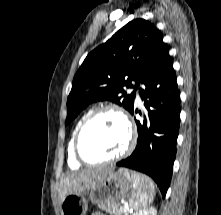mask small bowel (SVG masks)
I'll return each mask as SVG.
<instances>
[{
    "label": "small bowel",
    "instance_id": "c3829d8e",
    "mask_svg": "<svg viewBox=\"0 0 221 215\" xmlns=\"http://www.w3.org/2000/svg\"><path fill=\"white\" fill-rule=\"evenodd\" d=\"M92 215H103V214H101V213H94V214H92Z\"/></svg>",
    "mask_w": 221,
    "mask_h": 215
}]
</instances>
